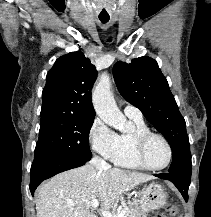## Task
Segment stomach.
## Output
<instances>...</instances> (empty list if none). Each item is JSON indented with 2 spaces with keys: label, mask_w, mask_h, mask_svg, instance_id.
Returning a JSON list of instances; mask_svg holds the SVG:
<instances>
[{
  "label": "stomach",
  "mask_w": 211,
  "mask_h": 217,
  "mask_svg": "<svg viewBox=\"0 0 211 217\" xmlns=\"http://www.w3.org/2000/svg\"><path fill=\"white\" fill-rule=\"evenodd\" d=\"M166 202L167 194L161 185L156 183L145 185L139 200L140 217H146L148 212L163 207Z\"/></svg>",
  "instance_id": "0dacf381"
}]
</instances>
